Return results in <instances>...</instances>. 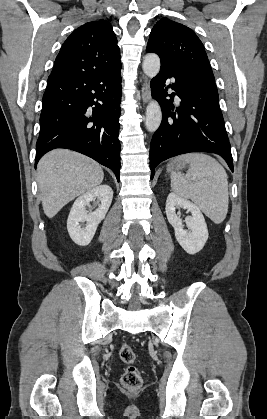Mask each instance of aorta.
<instances>
[{"label": "aorta", "mask_w": 267, "mask_h": 419, "mask_svg": "<svg viewBox=\"0 0 267 419\" xmlns=\"http://www.w3.org/2000/svg\"><path fill=\"white\" fill-rule=\"evenodd\" d=\"M160 58L155 53H149L145 56L142 68L146 76L154 78L160 71ZM162 121V111L156 100L149 102L146 108V128L149 132H155Z\"/></svg>", "instance_id": "762f6f07"}]
</instances>
